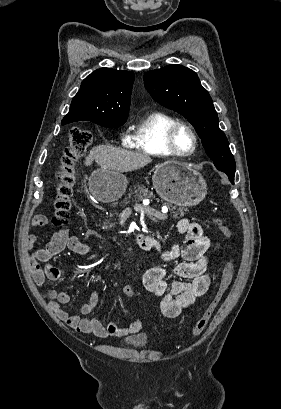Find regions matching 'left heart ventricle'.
<instances>
[{
    "instance_id": "b2bd125f",
    "label": "left heart ventricle",
    "mask_w": 281,
    "mask_h": 409,
    "mask_svg": "<svg viewBox=\"0 0 281 409\" xmlns=\"http://www.w3.org/2000/svg\"><path fill=\"white\" fill-rule=\"evenodd\" d=\"M179 141L184 151H189L191 149V138L187 133H182Z\"/></svg>"
}]
</instances>
